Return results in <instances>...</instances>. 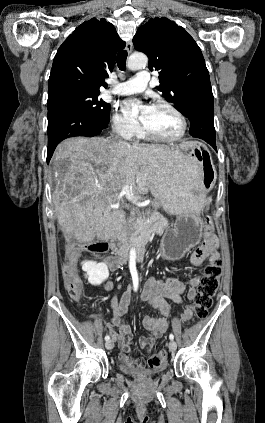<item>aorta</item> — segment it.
I'll list each match as a JSON object with an SVG mask.
<instances>
[{
    "instance_id": "762f6f07",
    "label": "aorta",
    "mask_w": 265,
    "mask_h": 423,
    "mask_svg": "<svg viewBox=\"0 0 265 423\" xmlns=\"http://www.w3.org/2000/svg\"><path fill=\"white\" fill-rule=\"evenodd\" d=\"M147 63H148V58L145 54L135 53V54H132L129 57L128 62H127V67L130 70H138V69L145 68ZM136 257H137L136 256V249L132 248L130 250V253H129L130 263L135 264L136 263Z\"/></svg>"
}]
</instances>
